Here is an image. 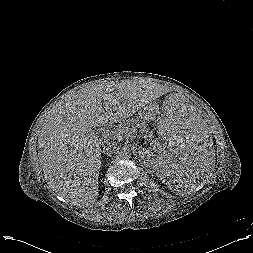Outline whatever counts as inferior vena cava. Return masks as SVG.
I'll return each mask as SVG.
<instances>
[{
	"mask_svg": "<svg viewBox=\"0 0 253 253\" xmlns=\"http://www.w3.org/2000/svg\"><path fill=\"white\" fill-rule=\"evenodd\" d=\"M104 153L107 152L108 154H113L115 151H117L116 144L113 142H108L106 145H104L103 148Z\"/></svg>",
	"mask_w": 253,
	"mask_h": 253,
	"instance_id": "602c4592",
	"label": "inferior vena cava"
}]
</instances>
